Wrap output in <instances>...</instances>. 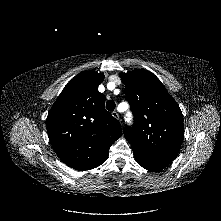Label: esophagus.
Wrapping results in <instances>:
<instances>
[{"label":"esophagus","instance_id":"esophagus-1","mask_svg":"<svg viewBox=\"0 0 221 221\" xmlns=\"http://www.w3.org/2000/svg\"><path fill=\"white\" fill-rule=\"evenodd\" d=\"M112 116H113L114 118H116V119H119V115H118V113H117L116 111H113V112H112Z\"/></svg>","mask_w":221,"mask_h":221}]
</instances>
